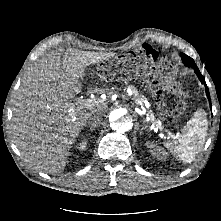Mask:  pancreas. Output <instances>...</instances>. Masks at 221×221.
Segmentation results:
<instances>
[{
    "label": "pancreas",
    "mask_w": 221,
    "mask_h": 221,
    "mask_svg": "<svg viewBox=\"0 0 221 221\" xmlns=\"http://www.w3.org/2000/svg\"><path fill=\"white\" fill-rule=\"evenodd\" d=\"M132 91H133V94H134L135 102L138 103V104H141L142 101L144 100V96L139 95V93H138V91L135 87H132Z\"/></svg>",
    "instance_id": "cf45deb5"
}]
</instances>
